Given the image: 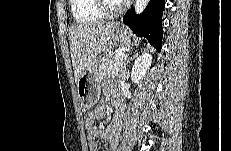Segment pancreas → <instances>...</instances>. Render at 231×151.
Masks as SVG:
<instances>
[{
  "instance_id": "pancreas-1",
  "label": "pancreas",
  "mask_w": 231,
  "mask_h": 151,
  "mask_svg": "<svg viewBox=\"0 0 231 151\" xmlns=\"http://www.w3.org/2000/svg\"><path fill=\"white\" fill-rule=\"evenodd\" d=\"M123 69V58L114 60L112 55L104 58L99 66V78L103 79L106 76L116 74Z\"/></svg>"
}]
</instances>
